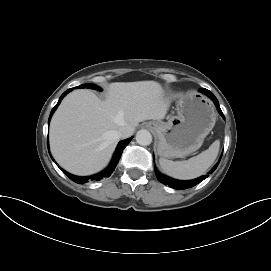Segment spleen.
Masks as SVG:
<instances>
[{
  "instance_id": "obj_1",
  "label": "spleen",
  "mask_w": 271,
  "mask_h": 271,
  "mask_svg": "<svg viewBox=\"0 0 271 271\" xmlns=\"http://www.w3.org/2000/svg\"><path fill=\"white\" fill-rule=\"evenodd\" d=\"M220 147V141H214L211 146L186 161H171L160 158L159 163L165 174L175 179L189 180L197 178L206 173L208 168L214 163Z\"/></svg>"
}]
</instances>
